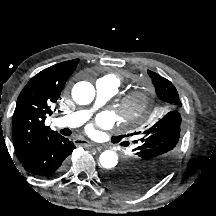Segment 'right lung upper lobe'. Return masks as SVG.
<instances>
[{"label":"right lung upper lobe","mask_w":216,"mask_h":216,"mask_svg":"<svg viewBox=\"0 0 216 216\" xmlns=\"http://www.w3.org/2000/svg\"><path fill=\"white\" fill-rule=\"evenodd\" d=\"M79 59L58 63L35 75L21 91L13 115V143L20 162L58 133L45 126L63 87Z\"/></svg>","instance_id":"obj_1"}]
</instances>
